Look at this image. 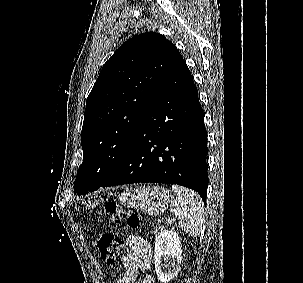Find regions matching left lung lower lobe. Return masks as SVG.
I'll return each mask as SVG.
<instances>
[{
    "instance_id": "left-lung-lower-lobe-1",
    "label": "left lung lower lobe",
    "mask_w": 303,
    "mask_h": 283,
    "mask_svg": "<svg viewBox=\"0 0 303 283\" xmlns=\"http://www.w3.org/2000/svg\"><path fill=\"white\" fill-rule=\"evenodd\" d=\"M206 154L207 136L198 91L179 54L154 95L124 159L100 187L140 182L177 184L195 190L206 203Z\"/></svg>"
}]
</instances>
